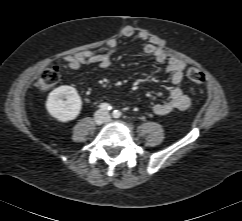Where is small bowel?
<instances>
[{
    "instance_id": "obj_1",
    "label": "small bowel",
    "mask_w": 242,
    "mask_h": 221,
    "mask_svg": "<svg viewBox=\"0 0 242 221\" xmlns=\"http://www.w3.org/2000/svg\"><path fill=\"white\" fill-rule=\"evenodd\" d=\"M123 35L125 37L137 35L139 39L147 41L144 52L151 55L156 62L166 63L165 73L170 75L171 81L175 85L170 90L169 99L156 103L152 108L153 112L157 115H167L176 110L188 109L191 99L179 87L184 77L185 63L178 58L168 56L160 46L149 40V35L145 31H136L127 27L123 30ZM117 48L118 42L115 39H109L97 50H86L64 57L59 68L76 70L82 65L97 64L100 69H107L112 63Z\"/></svg>"
}]
</instances>
